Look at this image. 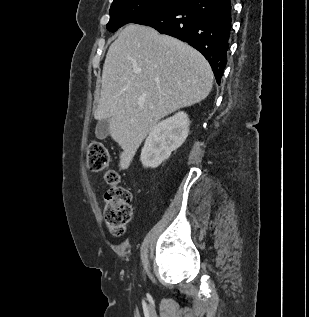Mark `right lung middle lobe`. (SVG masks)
Returning <instances> with one entry per match:
<instances>
[{
  "label": "right lung middle lobe",
  "instance_id": "obj_1",
  "mask_svg": "<svg viewBox=\"0 0 309 317\" xmlns=\"http://www.w3.org/2000/svg\"><path fill=\"white\" fill-rule=\"evenodd\" d=\"M184 0H114L110 8V20L107 24L109 31L115 32L136 18Z\"/></svg>",
  "mask_w": 309,
  "mask_h": 317
}]
</instances>
